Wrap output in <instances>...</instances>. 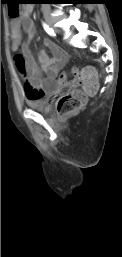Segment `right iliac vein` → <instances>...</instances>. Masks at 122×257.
<instances>
[{
	"instance_id": "63e3f726",
	"label": "right iliac vein",
	"mask_w": 122,
	"mask_h": 257,
	"mask_svg": "<svg viewBox=\"0 0 122 257\" xmlns=\"http://www.w3.org/2000/svg\"><path fill=\"white\" fill-rule=\"evenodd\" d=\"M46 22L49 26L54 27V21L51 17H46Z\"/></svg>"
}]
</instances>
